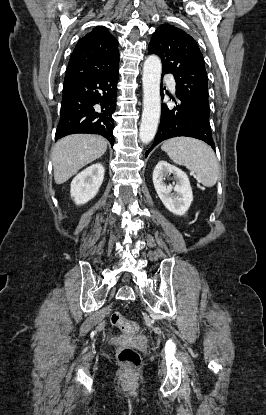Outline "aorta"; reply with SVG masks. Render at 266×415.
I'll list each match as a JSON object with an SVG mask.
<instances>
[{"mask_svg": "<svg viewBox=\"0 0 266 415\" xmlns=\"http://www.w3.org/2000/svg\"><path fill=\"white\" fill-rule=\"evenodd\" d=\"M162 64L159 57L150 55L143 67V112L139 138L144 144L150 143L157 132L161 113L160 79Z\"/></svg>", "mask_w": 266, "mask_h": 415, "instance_id": "762f6f07", "label": "aorta"}]
</instances>
